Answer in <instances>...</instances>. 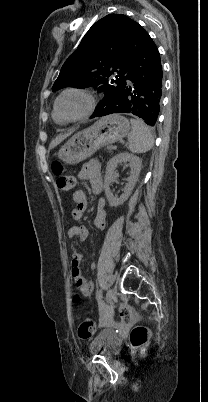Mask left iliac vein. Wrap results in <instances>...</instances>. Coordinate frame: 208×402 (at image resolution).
I'll return each instance as SVG.
<instances>
[{
	"label": "left iliac vein",
	"instance_id": "left-iliac-vein-1",
	"mask_svg": "<svg viewBox=\"0 0 208 402\" xmlns=\"http://www.w3.org/2000/svg\"><path fill=\"white\" fill-rule=\"evenodd\" d=\"M115 297H116L115 291L113 289H109L107 291V294H106V303H107V305L112 304L114 299H115Z\"/></svg>",
	"mask_w": 208,
	"mask_h": 402
}]
</instances>
